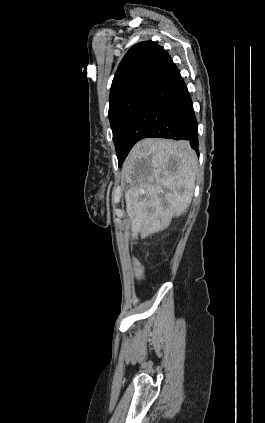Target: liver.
<instances>
[{"instance_id":"1","label":"liver","mask_w":265,"mask_h":423,"mask_svg":"<svg viewBox=\"0 0 265 423\" xmlns=\"http://www.w3.org/2000/svg\"><path fill=\"white\" fill-rule=\"evenodd\" d=\"M197 167V155L184 140L148 138L133 147L122 169L129 185L125 200L133 237L165 230L172 217L187 210Z\"/></svg>"}]
</instances>
